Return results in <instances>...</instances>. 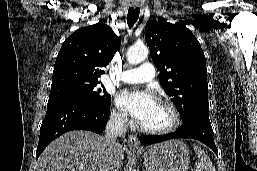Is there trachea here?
<instances>
[{"label": "trachea", "instance_id": "3493384b", "mask_svg": "<svg viewBox=\"0 0 257 171\" xmlns=\"http://www.w3.org/2000/svg\"><path fill=\"white\" fill-rule=\"evenodd\" d=\"M139 12L140 9L138 7H129L128 15H127V23L129 28H132L133 25L136 23V21L139 18Z\"/></svg>", "mask_w": 257, "mask_h": 171}]
</instances>
